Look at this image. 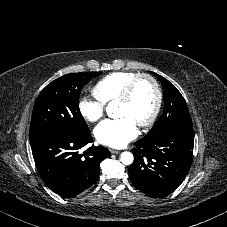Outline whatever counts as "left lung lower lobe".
Here are the masks:
<instances>
[{"label":"left lung lower lobe","instance_id":"obj_1","mask_svg":"<svg viewBox=\"0 0 227 227\" xmlns=\"http://www.w3.org/2000/svg\"><path fill=\"white\" fill-rule=\"evenodd\" d=\"M132 149V184L151 197H163L178 188L192 163L194 132H177L152 140L140 139Z\"/></svg>","mask_w":227,"mask_h":227}]
</instances>
